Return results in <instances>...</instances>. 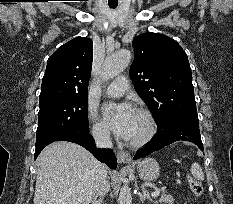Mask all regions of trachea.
Returning a JSON list of instances; mask_svg holds the SVG:
<instances>
[{
  "instance_id": "1",
  "label": "trachea",
  "mask_w": 233,
  "mask_h": 204,
  "mask_svg": "<svg viewBox=\"0 0 233 204\" xmlns=\"http://www.w3.org/2000/svg\"><path fill=\"white\" fill-rule=\"evenodd\" d=\"M109 6H110V8H113V9H115L117 7V5H109Z\"/></svg>"
}]
</instances>
